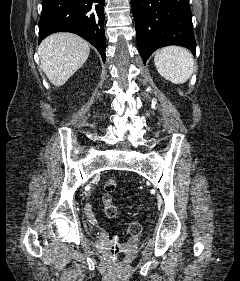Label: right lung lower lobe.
<instances>
[{
  "label": "right lung lower lobe",
  "instance_id": "98d812e1",
  "mask_svg": "<svg viewBox=\"0 0 240 281\" xmlns=\"http://www.w3.org/2000/svg\"><path fill=\"white\" fill-rule=\"evenodd\" d=\"M105 0H43L39 20V42L55 32L75 33L106 54L104 34Z\"/></svg>",
  "mask_w": 240,
  "mask_h": 281
}]
</instances>
